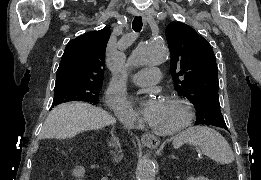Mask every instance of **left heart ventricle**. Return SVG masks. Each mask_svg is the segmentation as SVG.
<instances>
[{"mask_svg": "<svg viewBox=\"0 0 261 180\" xmlns=\"http://www.w3.org/2000/svg\"><path fill=\"white\" fill-rule=\"evenodd\" d=\"M183 116V106L170 99L160 100V104L147 125L153 132L168 133L174 131Z\"/></svg>", "mask_w": 261, "mask_h": 180, "instance_id": "1", "label": "left heart ventricle"}]
</instances>
